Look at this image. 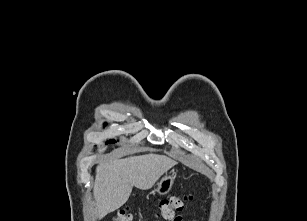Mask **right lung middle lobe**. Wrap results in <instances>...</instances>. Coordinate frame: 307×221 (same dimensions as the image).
Masks as SVG:
<instances>
[{
    "instance_id": "obj_1",
    "label": "right lung middle lobe",
    "mask_w": 307,
    "mask_h": 221,
    "mask_svg": "<svg viewBox=\"0 0 307 221\" xmlns=\"http://www.w3.org/2000/svg\"><path fill=\"white\" fill-rule=\"evenodd\" d=\"M106 125V124H105ZM114 142H116V141H114V140H111V141H108L107 143H114ZM106 143V144H107Z\"/></svg>"
}]
</instances>
